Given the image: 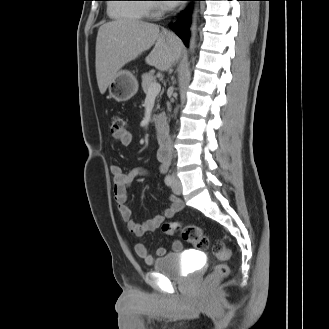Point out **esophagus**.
<instances>
[{"instance_id":"1","label":"esophagus","mask_w":329,"mask_h":329,"mask_svg":"<svg viewBox=\"0 0 329 329\" xmlns=\"http://www.w3.org/2000/svg\"><path fill=\"white\" fill-rule=\"evenodd\" d=\"M188 2H189V1H183V2H182L180 8L178 9V11H177V13H176V15L179 14L181 11H183V10L187 7Z\"/></svg>"}]
</instances>
